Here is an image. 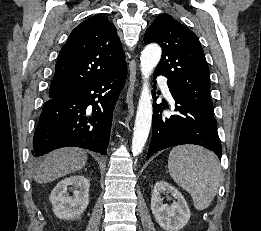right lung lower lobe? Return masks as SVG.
<instances>
[{"instance_id":"98d812e1","label":"right lung lower lobe","mask_w":261,"mask_h":231,"mask_svg":"<svg viewBox=\"0 0 261 231\" xmlns=\"http://www.w3.org/2000/svg\"><path fill=\"white\" fill-rule=\"evenodd\" d=\"M127 67L43 105L34 132L32 155L75 146L107 154L113 109L125 84Z\"/></svg>"}]
</instances>
